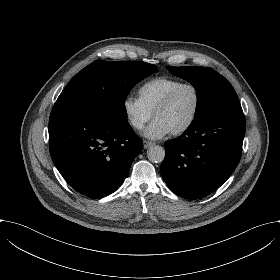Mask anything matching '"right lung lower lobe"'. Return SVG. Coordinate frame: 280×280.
Segmentation results:
<instances>
[{
  "mask_svg": "<svg viewBox=\"0 0 280 280\" xmlns=\"http://www.w3.org/2000/svg\"><path fill=\"white\" fill-rule=\"evenodd\" d=\"M142 148L127 121L70 108L53 109L50 114L51 158L69 185L90 198L116 191Z\"/></svg>",
  "mask_w": 280,
  "mask_h": 280,
  "instance_id": "obj_1",
  "label": "right lung lower lobe"
}]
</instances>
